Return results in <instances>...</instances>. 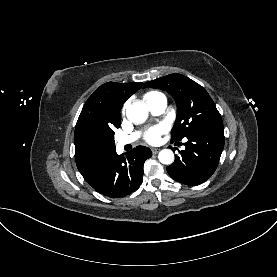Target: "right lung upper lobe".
<instances>
[{
    "instance_id": "obj_1",
    "label": "right lung upper lobe",
    "mask_w": 277,
    "mask_h": 277,
    "mask_svg": "<svg viewBox=\"0 0 277 277\" xmlns=\"http://www.w3.org/2000/svg\"><path fill=\"white\" fill-rule=\"evenodd\" d=\"M142 85L135 82H108L88 98L74 134L75 160L79 171L109 152L105 137L120 127L122 105Z\"/></svg>"
}]
</instances>
